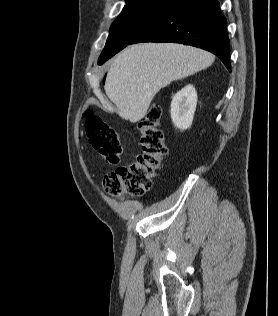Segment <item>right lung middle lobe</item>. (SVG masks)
Segmentation results:
<instances>
[{"instance_id": "right-lung-middle-lobe-1", "label": "right lung middle lobe", "mask_w": 278, "mask_h": 316, "mask_svg": "<svg viewBox=\"0 0 278 316\" xmlns=\"http://www.w3.org/2000/svg\"><path fill=\"white\" fill-rule=\"evenodd\" d=\"M121 14L113 22L98 64H103L129 45L167 5L169 0H125Z\"/></svg>"}]
</instances>
